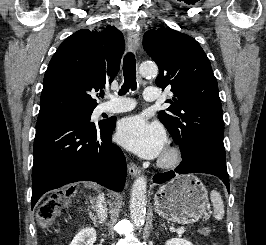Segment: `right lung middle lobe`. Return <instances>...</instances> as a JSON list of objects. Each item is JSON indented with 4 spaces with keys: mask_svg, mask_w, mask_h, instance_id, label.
I'll return each instance as SVG.
<instances>
[{
    "mask_svg": "<svg viewBox=\"0 0 266 245\" xmlns=\"http://www.w3.org/2000/svg\"><path fill=\"white\" fill-rule=\"evenodd\" d=\"M93 112V109H85L80 111L71 112L68 114L63 115L62 117L66 116H84V117H90ZM50 121H37L36 128L43 126L44 124L48 123Z\"/></svg>",
    "mask_w": 266,
    "mask_h": 245,
    "instance_id": "right-lung-middle-lobe-1",
    "label": "right lung middle lobe"
}]
</instances>
